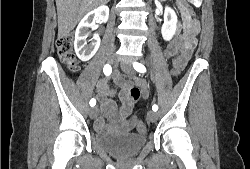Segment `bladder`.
<instances>
[{
  "instance_id": "1",
  "label": "bladder",
  "mask_w": 250,
  "mask_h": 169,
  "mask_svg": "<svg viewBox=\"0 0 250 169\" xmlns=\"http://www.w3.org/2000/svg\"><path fill=\"white\" fill-rule=\"evenodd\" d=\"M93 143L117 158L137 155L147 142L146 134L133 133H93Z\"/></svg>"
}]
</instances>
